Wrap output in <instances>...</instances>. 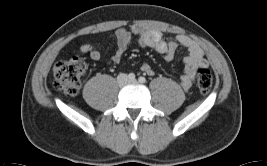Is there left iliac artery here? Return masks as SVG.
Segmentation results:
<instances>
[{"label": "left iliac artery", "mask_w": 267, "mask_h": 166, "mask_svg": "<svg viewBox=\"0 0 267 166\" xmlns=\"http://www.w3.org/2000/svg\"><path fill=\"white\" fill-rule=\"evenodd\" d=\"M138 80H139L140 83H145L146 82L145 77H139Z\"/></svg>", "instance_id": "left-iliac-artery-1"}]
</instances>
